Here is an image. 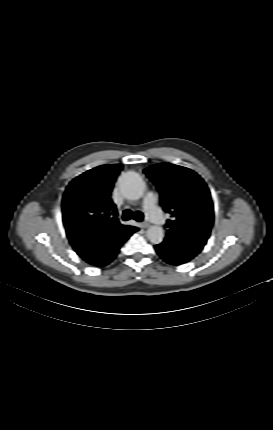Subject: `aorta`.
I'll return each mask as SVG.
<instances>
[{"label":"aorta","mask_w":273,"mask_h":430,"mask_svg":"<svg viewBox=\"0 0 273 430\" xmlns=\"http://www.w3.org/2000/svg\"><path fill=\"white\" fill-rule=\"evenodd\" d=\"M118 186L121 193L130 200H137L142 197L145 191V183L141 176L133 171L123 173ZM147 238L153 244H160L164 239V230L160 226L153 225L147 230Z\"/></svg>","instance_id":"obj_1"}]
</instances>
